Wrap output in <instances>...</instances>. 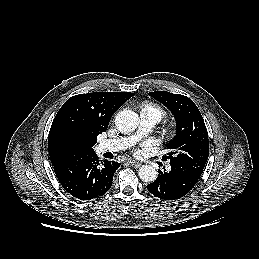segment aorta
Returning a JSON list of instances; mask_svg holds the SVG:
<instances>
[{"mask_svg": "<svg viewBox=\"0 0 259 259\" xmlns=\"http://www.w3.org/2000/svg\"><path fill=\"white\" fill-rule=\"evenodd\" d=\"M139 124V117L132 110L124 109L117 113L115 117V125L121 133L133 132ZM139 177L144 182H153L157 178V171L153 166L143 165L139 169Z\"/></svg>", "mask_w": 259, "mask_h": 259, "instance_id": "aorta-1", "label": "aorta"}]
</instances>
